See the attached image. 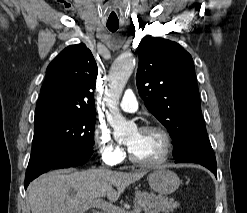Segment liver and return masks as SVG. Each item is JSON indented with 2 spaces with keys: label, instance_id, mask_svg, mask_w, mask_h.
Instances as JSON below:
<instances>
[{
  "label": "liver",
  "instance_id": "1",
  "mask_svg": "<svg viewBox=\"0 0 247 213\" xmlns=\"http://www.w3.org/2000/svg\"><path fill=\"white\" fill-rule=\"evenodd\" d=\"M146 171L134 173L106 169L52 171L41 175L28 188L32 213H84V204L107 197L115 202L130 184ZM74 189L75 193L70 194Z\"/></svg>",
  "mask_w": 247,
  "mask_h": 213
}]
</instances>
